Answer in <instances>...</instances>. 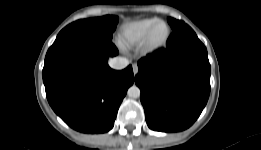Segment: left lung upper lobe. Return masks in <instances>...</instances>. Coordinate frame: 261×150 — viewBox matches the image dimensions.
<instances>
[{
	"label": "left lung upper lobe",
	"instance_id": "1",
	"mask_svg": "<svg viewBox=\"0 0 261 150\" xmlns=\"http://www.w3.org/2000/svg\"><path fill=\"white\" fill-rule=\"evenodd\" d=\"M168 23L171 25V28L173 30L179 29V28L183 27L184 25H186L183 21L176 20L171 17L168 18Z\"/></svg>",
	"mask_w": 261,
	"mask_h": 150
}]
</instances>
